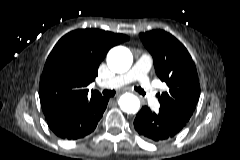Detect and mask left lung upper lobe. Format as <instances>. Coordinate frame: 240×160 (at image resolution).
I'll use <instances>...</instances> for the list:
<instances>
[{"label":"left lung upper lobe","mask_w":240,"mask_h":160,"mask_svg":"<svg viewBox=\"0 0 240 160\" xmlns=\"http://www.w3.org/2000/svg\"><path fill=\"white\" fill-rule=\"evenodd\" d=\"M139 36L153 57L157 76L168 86L167 91L159 95L160 109L188 122L200 96L192 57L180 41L163 30H152Z\"/></svg>","instance_id":"1"}]
</instances>
